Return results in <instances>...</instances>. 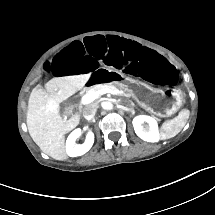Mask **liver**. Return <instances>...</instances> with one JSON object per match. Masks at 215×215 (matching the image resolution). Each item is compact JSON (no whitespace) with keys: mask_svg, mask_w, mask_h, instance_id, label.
<instances>
[{"mask_svg":"<svg viewBox=\"0 0 215 215\" xmlns=\"http://www.w3.org/2000/svg\"><path fill=\"white\" fill-rule=\"evenodd\" d=\"M90 74L54 77L44 84V89L34 88L27 110V127L32 139L49 156L57 160L66 157L65 134L74 129L80 120L78 113L62 119L59 103L83 87Z\"/></svg>","mask_w":215,"mask_h":215,"instance_id":"6515ba94","label":"liver"}]
</instances>
